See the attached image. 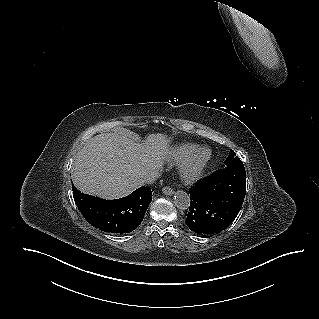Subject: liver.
I'll return each mask as SVG.
<instances>
[{
  "label": "liver",
  "mask_w": 319,
  "mask_h": 319,
  "mask_svg": "<svg viewBox=\"0 0 319 319\" xmlns=\"http://www.w3.org/2000/svg\"><path fill=\"white\" fill-rule=\"evenodd\" d=\"M170 139L149 134L138 143L116 133L90 138L73 163L72 180L80 191L105 199L129 195L143 185L142 177L159 171L169 152Z\"/></svg>",
  "instance_id": "obj_1"
}]
</instances>
